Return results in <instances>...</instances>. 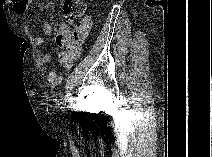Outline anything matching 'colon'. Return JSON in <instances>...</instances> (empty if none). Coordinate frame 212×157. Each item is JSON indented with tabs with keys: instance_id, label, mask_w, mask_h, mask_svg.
Listing matches in <instances>:
<instances>
[{
	"instance_id": "5ec220e1",
	"label": "colon",
	"mask_w": 212,
	"mask_h": 157,
	"mask_svg": "<svg viewBox=\"0 0 212 157\" xmlns=\"http://www.w3.org/2000/svg\"><path fill=\"white\" fill-rule=\"evenodd\" d=\"M86 3L82 0H66L63 4V14L67 23L74 28L58 36V41L63 45L70 40L74 41L80 36V29L83 26Z\"/></svg>"
}]
</instances>
